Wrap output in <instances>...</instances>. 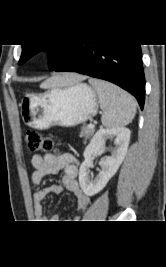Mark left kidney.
I'll return each instance as SVG.
<instances>
[{
	"mask_svg": "<svg viewBox=\"0 0 166 267\" xmlns=\"http://www.w3.org/2000/svg\"><path fill=\"white\" fill-rule=\"evenodd\" d=\"M130 134L128 128H107L98 130L91 139L84 151V161L79 170L80 187L87 196H93L100 192L117 172L127 153ZM113 137H115V148L111 156L101 159L99 162L101 170L94 179H91L88 171L92 165V157L104 150L106 140Z\"/></svg>",
	"mask_w": 166,
	"mask_h": 267,
	"instance_id": "obj_1",
	"label": "left kidney"
}]
</instances>
